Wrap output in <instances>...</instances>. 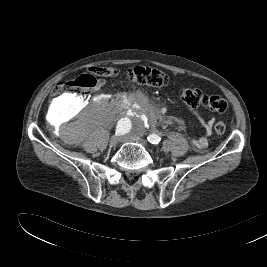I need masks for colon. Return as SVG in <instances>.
Here are the masks:
<instances>
[{"instance_id": "1", "label": "colon", "mask_w": 267, "mask_h": 267, "mask_svg": "<svg viewBox=\"0 0 267 267\" xmlns=\"http://www.w3.org/2000/svg\"><path fill=\"white\" fill-rule=\"evenodd\" d=\"M117 74L118 71L112 67H93L89 73H83L72 80L57 83L51 95L53 98H58L63 95H71L78 99L84 98L98 85L97 77H114ZM125 75L130 82L138 85L164 87L169 83V77L165 72L147 66L129 68L126 70ZM180 97L192 109L204 107L222 114L228 108V103L223 97L219 95H208L195 88L181 90ZM214 131L218 135L224 134L226 131L225 124L221 121L216 122L214 124Z\"/></svg>"}]
</instances>
